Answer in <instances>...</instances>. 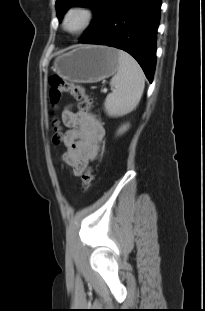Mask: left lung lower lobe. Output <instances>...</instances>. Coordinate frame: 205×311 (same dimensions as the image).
<instances>
[{
  "label": "left lung lower lobe",
  "instance_id": "1",
  "mask_svg": "<svg viewBox=\"0 0 205 311\" xmlns=\"http://www.w3.org/2000/svg\"><path fill=\"white\" fill-rule=\"evenodd\" d=\"M161 0H114L104 19L79 43L108 45L131 54L152 82Z\"/></svg>",
  "mask_w": 205,
  "mask_h": 311
}]
</instances>
